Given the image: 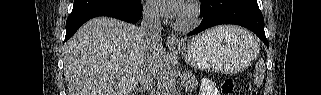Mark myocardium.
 I'll return each mask as SVG.
<instances>
[{
	"instance_id": "f54148a6",
	"label": "myocardium",
	"mask_w": 321,
	"mask_h": 95,
	"mask_svg": "<svg viewBox=\"0 0 321 95\" xmlns=\"http://www.w3.org/2000/svg\"><path fill=\"white\" fill-rule=\"evenodd\" d=\"M199 14L198 7L195 4H190L183 11L182 15L175 20L174 25L182 31L190 30L198 24Z\"/></svg>"
}]
</instances>
